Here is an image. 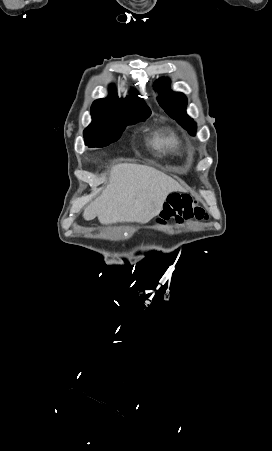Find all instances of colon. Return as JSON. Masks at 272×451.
I'll use <instances>...</instances> for the list:
<instances>
[{
  "instance_id": "5ec220e1",
  "label": "colon",
  "mask_w": 272,
  "mask_h": 451,
  "mask_svg": "<svg viewBox=\"0 0 272 451\" xmlns=\"http://www.w3.org/2000/svg\"><path fill=\"white\" fill-rule=\"evenodd\" d=\"M208 217L207 211L200 206L198 201L186 194H171L161 211L162 219L174 218L177 223L192 219L206 220Z\"/></svg>"
}]
</instances>
